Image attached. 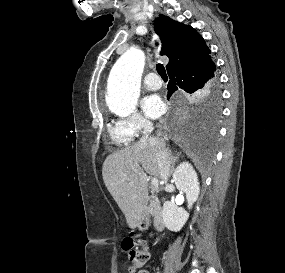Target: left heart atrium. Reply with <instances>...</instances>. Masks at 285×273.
<instances>
[{"mask_svg": "<svg viewBox=\"0 0 285 273\" xmlns=\"http://www.w3.org/2000/svg\"><path fill=\"white\" fill-rule=\"evenodd\" d=\"M142 109L150 118H158L165 110L164 103L157 95H150L142 101Z\"/></svg>", "mask_w": 285, "mask_h": 273, "instance_id": "1", "label": "left heart atrium"}]
</instances>
